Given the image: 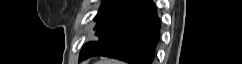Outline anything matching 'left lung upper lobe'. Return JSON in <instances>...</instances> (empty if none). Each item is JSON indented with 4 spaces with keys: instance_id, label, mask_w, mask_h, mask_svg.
I'll list each match as a JSON object with an SVG mask.
<instances>
[{
    "instance_id": "left-lung-upper-lobe-1",
    "label": "left lung upper lobe",
    "mask_w": 242,
    "mask_h": 64,
    "mask_svg": "<svg viewBox=\"0 0 242 64\" xmlns=\"http://www.w3.org/2000/svg\"><path fill=\"white\" fill-rule=\"evenodd\" d=\"M119 0H102L101 7L95 16V20H99V18L108 11L114 4H116Z\"/></svg>"
}]
</instances>
